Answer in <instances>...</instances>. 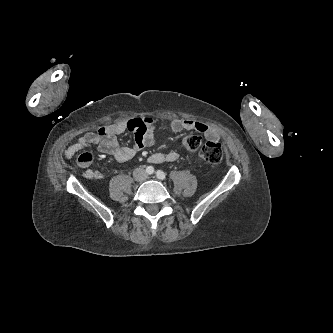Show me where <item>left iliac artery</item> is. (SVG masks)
<instances>
[{
  "label": "left iliac artery",
  "instance_id": "44dca946",
  "mask_svg": "<svg viewBox=\"0 0 333 333\" xmlns=\"http://www.w3.org/2000/svg\"><path fill=\"white\" fill-rule=\"evenodd\" d=\"M156 176H157V178H159V179H161V180H164V179L166 178L165 173H164L163 171H161V170H158V171L156 172Z\"/></svg>",
  "mask_w": 333,
  "mask_h": 333
}]
</instances>
